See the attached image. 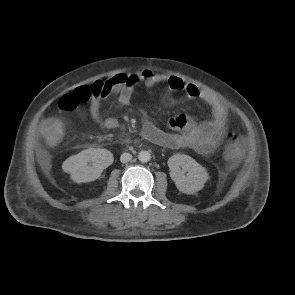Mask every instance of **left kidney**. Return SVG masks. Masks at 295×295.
Returning <instances> with one entry per match:
<instances>
[{
  "label": "left kidney",
  "instance_id": "5707ae66",
  "mask_svg": "<svg viewBox=\"0 0 295 295\" xmlns=\"http://www.w3.org/2000/svg\"><path fill=\"white\" fill-rule=\"evenodd\" d=\"M167 163L170 177L182 193L194 194L200 191L208 180L206 169L190 156L175 154L168 159Z\"/></svg>",
  "mask_w": 295,
  "mask_h": 295
}]
</instances>
